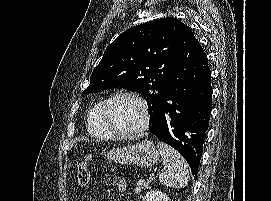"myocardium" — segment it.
<instances>
[{"instance_id":"1","label":"myocardium","mask_w":271,"mask_h":201,"mask_svg":"<svg viewBox=\"0 0 271 201\" xmlns=\"http://www.w3.org/2000/svg\"><path fill=\"white\" fill-rule=\"evenodd\" d=\"M119 97H130L134 99L135 101H137L142 108V112H143L142 122L134 130H130V131L119 130L114 126V124L111 121L110 113H109L110 106L112 102ZM102 119L107 129L110 130L114 135L119 136V137H126V138L134 137L141 134L148 128L150 124V109L145 98H143L139 93L132 90H119L111 94L105 100L104 105L102 107Z\"/></svg>"}]
</instances>
